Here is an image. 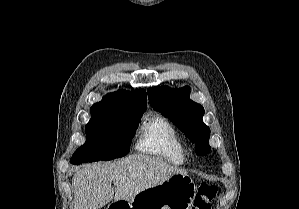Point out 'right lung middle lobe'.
<instances>
[{
  "instance_id": "obj_1",
  "label": "right lung middle lobe",
  "mask_w": 299,
  "mask_h": 209,
  "mask_svg": "<svg viewBox=\"0 0 299 209\" xmlns=\"http://www.w3.org/2000/svg\"><path fill=\"white\" fill-rule=\"evenodd\" d=\"M142 113H91L86 125V142L76 150L70 162L78 165L125 156L130 151L133 132L138 128Z\"/></svg>"
}]
</instances>
